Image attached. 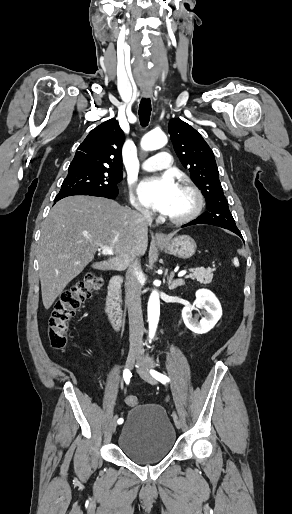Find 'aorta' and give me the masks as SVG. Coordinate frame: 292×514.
Masks as SVG:
<instances>
[{
    "label": "aorta",
    "instance_id": "1",
    "mask_svg": "<svg viewBox=\"0 0 292 514\" xmlns=\"http://www.w3.org/2000/svg\"><path fill=\"white\" fill-rule=\"evenodd\" d=\"M168 140L164 132L161 130H152L144 136L141 146L143 150H159L166 146ZM160 314V300L158 292H152L148 302V322H149V336L153 338L157 328Z\"/></svg>",
    "mask_w": 292,
    "mask_h": 514
}]
</instances>
